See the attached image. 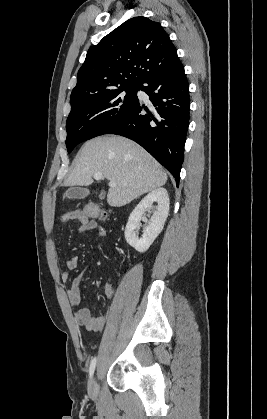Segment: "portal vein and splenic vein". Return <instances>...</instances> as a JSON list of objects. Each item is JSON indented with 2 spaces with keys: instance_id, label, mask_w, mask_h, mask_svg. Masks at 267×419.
Instances as JSON below:
<instances>
[{
  "instance_id": "1",
  "label": "portal vein and splenic vein",
  "mask_w": 267,
  "mask_h": 419,
  "mask_svg": "<svg viewBox=\"0 0 267 419\" xmlns=\"http://www.w3.org/2000/svg\"><path fill=\"white\" fill-rule=\"evenodd\" d=\"M93 178L96 179V180H100V179L103 178V174L102 173H95L93 175ZM109 186L110 187H115L116 186V183L114 181H110Z\"/></svg>"
}]
</instances>
